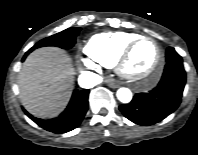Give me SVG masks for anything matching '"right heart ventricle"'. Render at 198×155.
I'll list each match as a JSON object with an SVG mask.
<instances>
[{
  "mask_svg": "<svg viewBox=\"0 0 198 155\" xmlns=\"http://www.w3.org/2000/svg\"><path fill=\"white\" fill-rule=\"evenodd\" d=\"M140 36L133 32H104L93 35L85 44L84 52L99 65L111 68L125 46Z\"/></svg>",
  "mask_w": 198,
  "mask_h": 155,
  "instance_id": "right-heart-ventricle-1",
  "label": "right heart ventricle"
}]
</instances>
